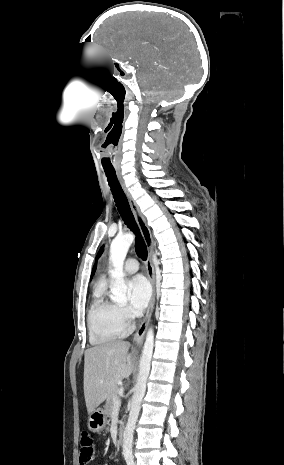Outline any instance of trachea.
Segmentation results:
<instances>
[{
    "label": "trachea",
    "mask_w": 284,
    "mask_h": 465,
    "mask_svg": "<svg viewBox=\"0 0 284 465\" xmlns=\"http://www.w3.org/2000/svg\"><path fill=\"white\" fill-rule=\"evenodd\" d=\"M106 177L108 179L109 186L111 187V192L115 200L116 207L120 216L127 225L128 228L135 234V249L138 257L142 260L147 259V247L145 242L140 234L139 228L133 216V213L130 209V205L126 198L125 193L123 192L120 183L117 180L116 172L114 169H104Z\"/></svg>",
    "instance_id": "trachea-1"
}]
</instances>
